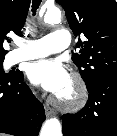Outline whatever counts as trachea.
Listing matches in <instances>:
<instances>
[{
  "label": "trachea",
  "mask_w": 117,
  "mask_h": 136,
  "mask_svg": "<svg viewBox=\"0 0 117 136\" xmlns=\"http://www.w3.org/2000/svg\"><path fill=\"white\" fill-rule=\"evenodd\" d=\"M40 3H41V0H33L32 1V12H33V15H35L36 10L38 9Z\"/></svg>",
  "instance_id": "obj_1"
}]
</instances>
